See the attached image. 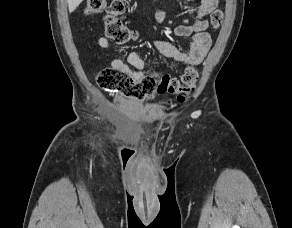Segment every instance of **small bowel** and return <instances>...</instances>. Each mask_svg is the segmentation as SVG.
I'll list each match as a JSON object with an SVG mask.
<instances>
[{
	"mask_svg": "<svg viewBox=\"0 0 292 228\" xmlns=\"http://www.w3.org/2000/svg\"><path fill=\"white\" fill-rule=\"evenodd\" d=\"M161 0H154L155 15L161 22L165 18L164 12L160 9ZM218 0H200L199 5L195 10L194 20L192 24H180L174 28V34L179 37L190 38L188 51H182L174 44L156 39L154 45L156 49L166 58L175 60L187 68H194L199 65L207 55L211 47V37L206 31L208 27V15L215 9ZM99 45L102 48H107L109 43L105 37L99 39ZM127 62L134 69L119 58H115L111 62V68L122 70L132 76L135 80H139L144 76V59L141 55L132 51L127 57Z\"/></svg>",
	"mask_w": 292,
	"mask_h": 228,
	"instance_id": "obj_1",
	"label": "small bowel"
}]
</instances>
